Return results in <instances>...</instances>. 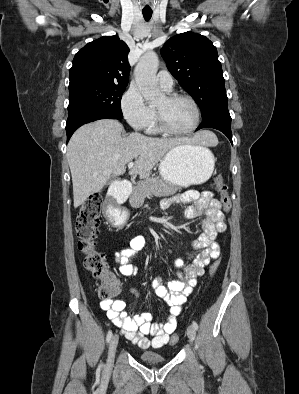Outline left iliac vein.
Listing matches in <instances>:
<instances>
[{"label": "left iliac vein", "mask_w": 299, "mask_h": 394, "mask_svg": "<svg viewBox=\"0 0 299 394\" xmlns=\"http://www.w3.org/2000/svg\"><path fill=\"white\" fill-rule=\"evenodd\" d=\"M187 336L191 341H194L195 336H196V329L193 327V325L188 326Z\"/></svg>", "instance_id": "4c4485c4"}]
</instances>
